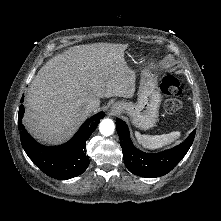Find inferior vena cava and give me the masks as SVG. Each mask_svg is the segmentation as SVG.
<instances>
[{"label": "inferior vena cava", "mask_w": 221, "mask_h": 221, "mask_svg": "<svg viewBox=\"0 0 221 221\" xmlns=\"http://www.w3.org/2000/svg\"><path fill=\"white\" fill-rule=\"evenodd\" d=\"M100 102L99 101H89L85 107V110L87 113H92L97 110L99 107Z\"/></svg>", "instance_id": "1"}]
</instances>
